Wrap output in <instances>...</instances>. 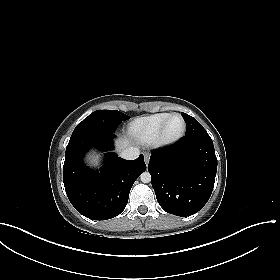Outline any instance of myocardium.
I'll list each match as a JSON object with an SVG mask.
<instances>
[{"label":"myocardium","mask_w":280,"mask_h":280,"mask_svg":"<svg viewBox=\"0 0 280 280\" xmlns=\"http://www.w3.org/2000/svg\"><path fill=\"white\" fill-rule=\"evenodd\" d=\"M173 117L181 118V120L183 122V127H182L181 132L177 136H175L173 138H167L166 137V128H167V125H168L169 121ZM186 129H187V122H186L185 117L182 114H180V113H172V114H170L167 117V119L162 123V125H161V127L159 129L158 136L155 139L156 145L158 147H161V148H166V147H171V146L177 144L184 137V135L186 133Z\"/></svg>","instance_id":"obj_1"}]
</instances>
